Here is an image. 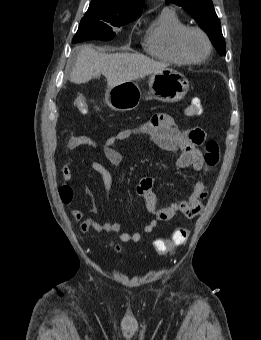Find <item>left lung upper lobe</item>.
I'll use <instances>...</instances> for the list:
<instances>
[{"mask_svg":"<svg viewBox=\"0 0 261 340\" xmlns=\"http://www.w3.org/2000/svg\"><path fill=\"white\" fill-rule=\"evenodd\" d=\"M181 6L188 12L207 33L217 52L225 53V41L222 35L220 20L217 18L211 0H166Z\"/></svg>","mask_w":261,"mask_h":340,"instance_id":"obj_1","label":"left lung upper lobe"}]
</instances>
